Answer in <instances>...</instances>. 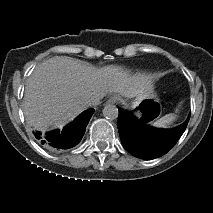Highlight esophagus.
Segmentation results:
<instances>
[{"instance_id":"1","label":"esophagus","mask_w":213,"mask_h":213,"mask_svg":"<svg viewBox=\"0 0 213 213\" xmlns=\"http://www.w3.org/2000/svg\"><path fill=\"white\" fill-rule=\"evenodd\" d=\"M117 102H118V98H117L116 96L111 97V98L107 101V103H111V104H115V103H117Z\"/></svg>"}]
</instances>
